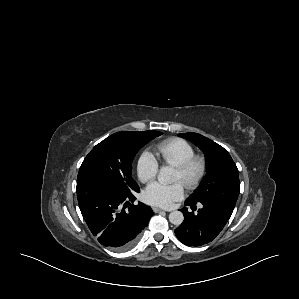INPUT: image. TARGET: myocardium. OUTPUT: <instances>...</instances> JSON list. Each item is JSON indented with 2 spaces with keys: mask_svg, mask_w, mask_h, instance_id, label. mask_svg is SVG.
Instances as JSON below:
<instances>
[{
  "mask_svg": "<svg viewBox=\"0 0 299 299\" xmlns=\"http://www.w3.org/2000/svg\"><path fill=\"white\" fill-rule=\"evenodd\" d=\"M175 169L180 173L182 183L187 188L194 189L206 174V159L200 155H193L183 163L175 166Z\"/></svg>",
  "mask_w": 299,
  "mask_h": 299,
  "instance_id": "obj_1",
  "label": "myocardium"
}]
</instances>
